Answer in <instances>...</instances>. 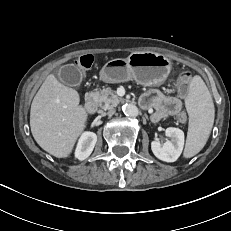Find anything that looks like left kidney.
Returning a JSON list of instances; mask_svg holds the SVG:
<instances>
[{"label": "left kidney", "instance_id": "1", "mask_svg": "<svg viewBox=\"0 0 231 231\" xmlns=\"http://www.w3.org/2000/svg\"><path fill=\"white\" fill-rule=\"evenodd\" d=\"M165 135L170 138L164 144L159 141L151 142L153 154L165 162H175L181 155L184 147V132L175 127L165 130Z\"/></svg>", "mask_w": 231, "mask_h": 231}]
</instances>
